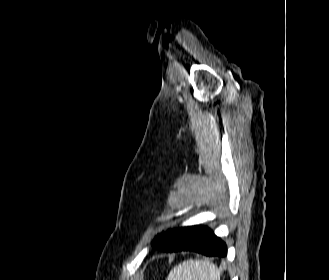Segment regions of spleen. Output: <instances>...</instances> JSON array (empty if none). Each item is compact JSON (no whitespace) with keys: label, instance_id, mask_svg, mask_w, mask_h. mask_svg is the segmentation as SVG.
Returning a JSON list of instances; mask_svg holds the SVG:
<instances>
[{"label":"spleen","instance_id":"1","mask_svg":"<svg viewBox=\"0 0 329 280\" xmlns=\"http://www.w3.org/2000/svg\"><path fill=\"white\" fill-rule=\"evenodd\" d=\"M167 280H220L218 267L207 260H186L175 266Z\"/></svg>","mask_w":329,"mask_h":280}]
</instances>
